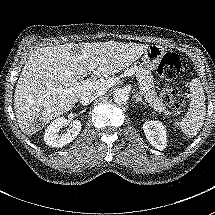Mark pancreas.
Returning <instances> with one entry per match:
<instances>
[{
    "label": "pancreas",
    "mask_w": 215,
    "mask_h": 215,
    "mask_svg": "<svg viewBox=\"0 0 215 215\" xmlns=\"http://www.w3.org/2000/svg\"><path fill=\"white\" fill-rule=\"evenodd\" d=\"M127 70L130 71L139 81V88L141 90L140 94L145 98V101L149 104V106L154 108L157 112H165L166 106L155 92L153 84L154 78L150 71L137 65H133Z\"/></svg>",
    "instance_id": "pancreas-1"
}]
</instances>
